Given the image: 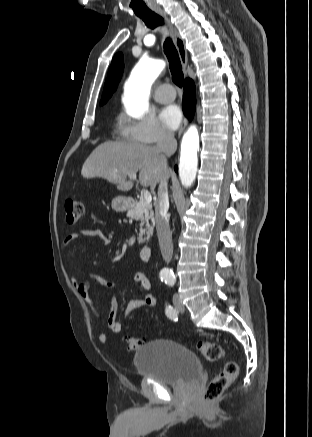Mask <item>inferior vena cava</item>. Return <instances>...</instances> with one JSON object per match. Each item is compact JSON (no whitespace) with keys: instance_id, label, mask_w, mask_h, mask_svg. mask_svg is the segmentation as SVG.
<instances>
[{"instance_id":"obj_1","label":"inferior vena cava","mask_w":312,"mask_h":437,"mask_svg":"<svg viewBox=\"0 0 312 437\" xmlns=\"http://www.w3.org/2000/svg\"><path fill=\"white\" fill-rule=\"evenodd\" d=\"M177 148L174 134L166 129L162 130L156 150L160 154V160L165 173L158 187V201L155 207L156 230L161 254L166 263H169L173 255L172 234L169 226L167 211L169 209L167 157L171 156Z\"/></svg>"}]
</instances>
